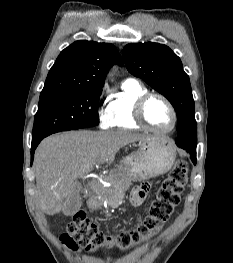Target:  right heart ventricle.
<instances>
[{
  "label": "right heart ventricle",
  "instance_id": "obj_1",
  "mask_svg": "<svg viewBox=\"0 0 233 263\" xmlns=\"http://www.w3.org/2000/svg\"><path fill=\"white\" fill-rule=\"evenodd\" d=\"M146 93H148V89L143 84L134 79H127L122 84L121 92L109 104L112 127L140 128L134 118V108L137 100Z\"/></svg>",
  "mask_w": 233,
  "mask_h": 263
}]
</instances>
